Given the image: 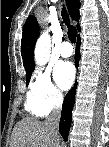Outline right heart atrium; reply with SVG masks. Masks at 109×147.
Segmentation results:
<instances>
[{
	"label": "right heart atrium",
	"mask_w": 109,
	"mask_h": 147,
	"mask_svg": "<svg viewBox=\"0 0 109 147\" xmlns=\"http://www.w3.org/2000/svg\"><path fill=\"white\" fill-rule=\"evenodd\" d=\"M27 100L34 103L43 115L61 105L63 94L52 82L48 69H39L34 73Z\"/></svg>",
	"instance_id": "obj_1"
}]
</instances>
